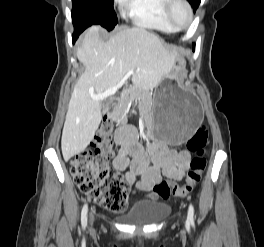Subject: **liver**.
<instances>
[{
    "label": "liver",
    "instance_id": "liver-1",
    "mask_svg": "<svg viewBox=\"0 0 264 247\" xmlns=\"http://www.w3.org/2000/svg\"><path fill=\"white\" fill-rule=\"evenodd\" d=\"M103 29L91 26L76 49L85 67L68 105L63 127L61 149L65 161L82 152L93 140L107 107L102 100H92V94L103 93L133 72V83L152 89L169 76L174 57L162 40L143 28H127L108 41L101 39Z\"/></svg>",
    "mask_w": 264,
    "mask_h": 247
}]
</instances>
